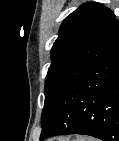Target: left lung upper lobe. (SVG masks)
<instances>
[{
	"label": "left lung upper lobe",
	"mask_w": 119,
	"mask_h": 141,
	"mask_svg": "<svg viewBox=\"0 0 119 141\" xmlns=\"http://www.w3.org/2000/svg\"><path fill=\"white\" fill-rule=\"evenodd\" d=\"M116 20L103 4L85 3L62 23L51 50V65L45 80V105L80 75L96 56Z\"/></svg>",
	"instance_id": "obj_1"
}]
</instances>
